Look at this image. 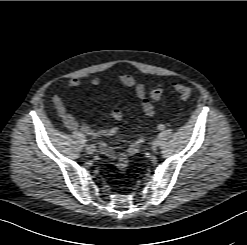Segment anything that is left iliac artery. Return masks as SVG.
<instances>
[{
  "instance_id": "44dca946",
  "label": "left iliac artery",
  "mask_w": 247,
  "mask_h": 245,
  "mask_svg": "<svg viewBox=\"0 0 247 245\" xmlns=\"http://www.w3.org/2000/svg\"><path fill=\"white\" fill-rule=\"evenodd\" d=\"M165 127H164V125L163 124H160L159 126H158V129H160V130H163Z\"/></svg>"
}]
</instances>
